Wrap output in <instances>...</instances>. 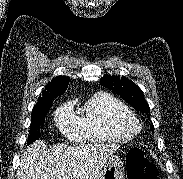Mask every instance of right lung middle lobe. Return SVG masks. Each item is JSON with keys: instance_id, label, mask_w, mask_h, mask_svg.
<instances>
[{"instance_id": "dd1d6c3e", "label": "right lung middle lobe", "mask_w": 183, "mask_h": 179, "mask_svg": "<svg viewBox=\"0 0 183 179\" xmlns=\"http://www.w3.org/2000/svg\"><path fill=\"white\" fill-rule=\"evenodd\" d=\"M52 106V102L47 104L36 106L32 110V121L30 125V135L28 136L27 144H31L36 141L40 136V128L45 123V117L49 113V109Z\"/></svg>"}]
</instances>
